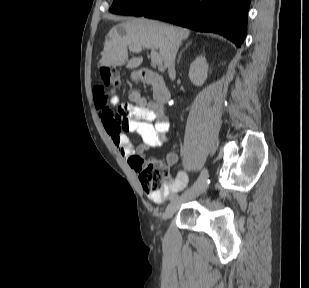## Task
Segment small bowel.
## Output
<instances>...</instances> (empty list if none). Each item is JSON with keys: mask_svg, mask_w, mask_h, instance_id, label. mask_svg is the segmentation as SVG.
<instances>
[{"mask_svg": "<svg viewBox=\"0 0 309 288\" xmlns=\"http://www.w3.org/2000/svg\"><path fill=\"white\" fill-rule=\"evenodd\" d=\"M118 97L112 98V103L117 104ZM128 110V119L122 126L115 124L110 118L101 115L107 134L120 154L127 160L129 166L138 172L139 167L135 157H144L149 149L160 148L167 139L170 121L163 108L153 101L142 98L139 94L131 95V102L122 104ZM129 131L138 134L143 142L134 147L129 137L124 133ZM165 161L168 165H174L178 161V154L169 151ZM187 184V176L179 172L159 193H149L148 199L154 203L162 204L171 192L182 189Z\"/></svg>", "mask_w": 309, "mask_h": 288, "instance_id": "obj_1", "label": "small bowel"}]
</instances>
